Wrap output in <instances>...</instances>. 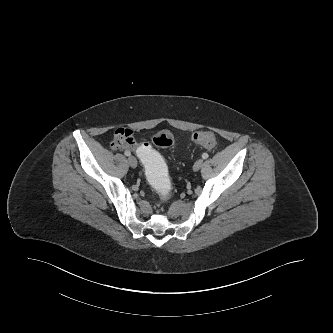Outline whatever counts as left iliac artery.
<instances>
[{"mask_svg": "<svg viewBox=\"0 0 333 333\" xmlns=\"http://www.w3.org/2000/svg\"><path fill=\"white\" fill-rule=\"evenodd\" d=\"M208 157H209V155H208L207 153H203V154H202V158H203V159H207Z\"/></svg>", "mask_w": 333, "mask_h": 333, "instance_id": "1", "label": "left iliac artery"}]
</instances>
